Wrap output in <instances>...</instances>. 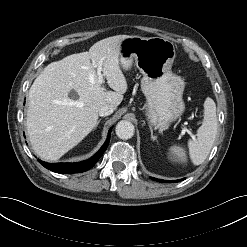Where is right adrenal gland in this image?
Wrapping results in <instances>:
<instances>
[{
  "label": "right adrenal gland",
  "instance_id": "2a0ac1e0",
  "mask_svg": "<svg viewBox=\"0 0 247 247\" xmlns=\"http://www.w3.org/2000/svg\"><path fill=\"white\" fill-rule=\"evenodd\" d=\"M101 119L98 120L97 124L95 125L94 129H96V127L98 126V124L100 123Z\"/></svg>",
  "mask_w": 247,
  "mask_h": 247
}]
</instances>
